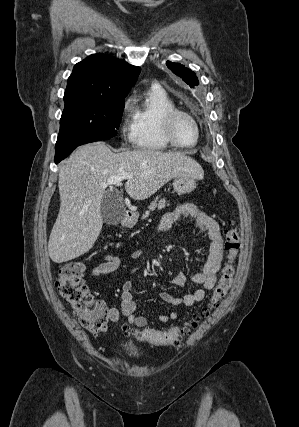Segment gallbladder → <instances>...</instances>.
<instances>
[{"mask_svg": "<svg viewBox=\"0 0 299 427\" xmlns=\"http://www.w3.org/2000/svg\"><path fill=\"white\" fill-rule=\"evenodd\" d=\"M100 211L106 224L121 223L126 212L122 193L116 190L107 192L102 199Z\"/></svg>", "mask_w": 299, "mask_h": 427, "instance_id": "1", "label": "gallbladder"}]
</instances>
